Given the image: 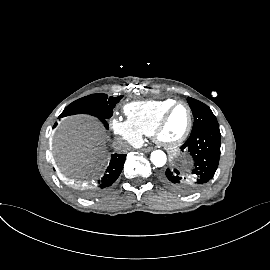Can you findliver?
<instances>
[{
    "label": "liver",
    "instance_id": "1",
    "mask_svg": "<svg viewBox=\"0 0 270 270\" xmlns=\"http://www.w3.org/2000/svg\"><path fill=\"white\" fill-rule=\"evenodd\" d=\"M106 134L88 115H73L61 121L53 135V155L59 171L84 172L97 167L105 154Z\"/></svg>",
    "mask_w": 270,
    "mask_h": 270
}]
</instances>
